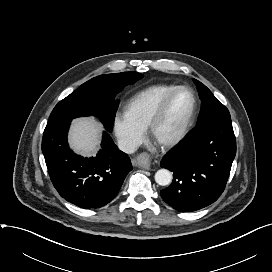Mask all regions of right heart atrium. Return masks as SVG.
I'll return each instance as SVG.
<instances>
[{"label": "right heart atrium", "mask_w": 272, "mask_h": 272, "mask_svg": "<svg viewBox=\"0 0 272 272\" xmlns=\"http://www.w3.org/2000/svg\"><path fill=\"white\" fill-rule=\"evenodd\" d=\"M113 131L119 147L127 153L135 151L145 137V129L137 125L126 112L114 116Z\"/></svg>", "instance_id": "1"}]
</instances>
